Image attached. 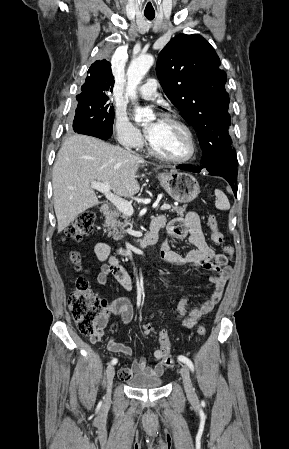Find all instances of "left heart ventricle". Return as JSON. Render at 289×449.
I'll use <instances>...</instances> for the list:
<instances>
[{
	"instance_id": "1",
	"label": "left heart ventricle",
	"mask_w": 289,
	"mask_h": 449,
	"mask_svg": "<svg viewBox=\"0 0 289 449\" xmlns=\"http://www.w3.org/2000/svg\"><path fill=\"white\" fill-rule=\"evenodd\" d=\"M148 138L154 148L169 157H184L189 153V141L177 125L162 119H153L147 125Z\"/></svg>"
}]
</instances>
